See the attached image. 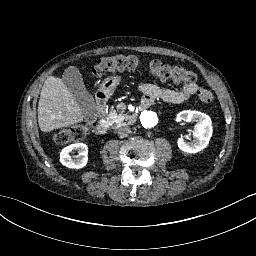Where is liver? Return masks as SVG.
<instances>
[{
    "label": "liver",
    "instance_id": "liver-1",
    "mask_svg": "<svg viewBox=\"0 0 256 256\" xmlns=\"http://www.w3.org/2000/svg\"><path fill=\"white\" fill-rule=\"evenodd\" d=\"M38 124L43 132L69 127L84 116L74 95L57 77L49 76L42 86L38 103Z\"/></svg>",
    "mask_w": 256,
    "mask_h": 256
}]
</instances>
